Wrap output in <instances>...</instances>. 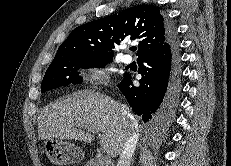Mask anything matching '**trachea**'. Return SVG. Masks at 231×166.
I'll list each match as a JSON object with an SVG mask.
<instances>
[{"instance_id": "obj_1", "label": "trachea", "mask_w": 231, "mask_h": 166, "mask_svg": "<svg viewBox=\"0 0 231 166\" xmlns=\"http://www.w3.org/2000/svg\"><path fill=\"white\" fill-rule=\"evenodd\" d=\"M130 50L134 52V51L137 50V48L136 47H131Z\"/></svg>"}]
</instances>
